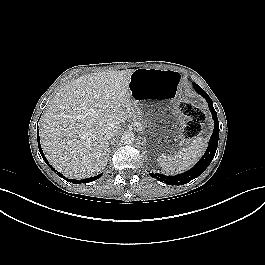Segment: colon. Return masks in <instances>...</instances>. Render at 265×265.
I'll return each mask as SVG.
<instances>
[{"mask_svg":"<svg viewBox=\"0 0 265 265\" xmlns=\"http://www.w3.org/2000/svg\"><path fill=\"white\" fill-rule=\"evenodd\" d=\"M178 109L181 114L188 118L183 132L184 138L191 140L197 137L202 130V124L206 117L205 113L188 101L180 102Z\"/></svg>","mask_w":265,"mask_h":265,"instance_id":"colon-1","label":"colon"}]
</instances>
